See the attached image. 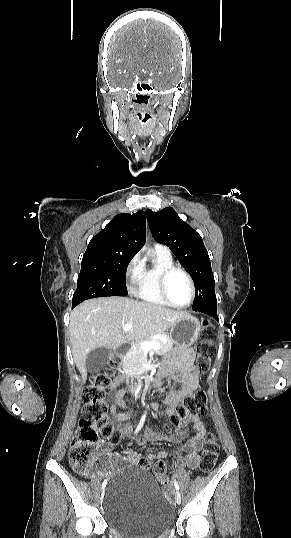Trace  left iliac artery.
Instances as JSON below:
<instances>
[{
	"mask_svg": "<svg viewBox=\"0 0 291 538\" xmlns=\"http://www.w3.org/2000/svg\"><path fill=\"white\" fill-rule=\"evenodd\" d=\"M174 486H175L176 490H179L178 482L175 479H174Z\"/></svg>",
	"mask_w": 291,
	"mask_h": 538,
	"instance_id": "1",
	"label": "left iliac artery"
}]
</instances>
